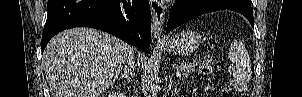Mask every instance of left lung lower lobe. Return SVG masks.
Wrapping results in <instances>:
<instances>
[{"mask_svg":"<svg viewBox=\"0 0 302 97\" xmlns=\"http://www.w3.org/2000/svg\"><path fill=\"white\" fill-rule=\"evenodd\" d=\"M224 9L243 14L254 26L250 0H177L170 11L167 32L202 14Z\"/></svg>","mask_w":302,"mask_h":97,"instance_id":"left-lung-lower-lobe-1","label":"left lung lower lobe"}]
</instances>
